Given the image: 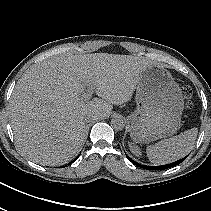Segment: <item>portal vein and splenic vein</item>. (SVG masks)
Returning a JSON list of instances; mask_svg holds the SVG:
<instances>
[{"label":"portal vein and splenic vein","instance_id":"18ae733b","mask_svg":"<svg viewBox=\"0 0 211 211\" xmlns=\"http://www.w3.org/2000/svg\"><path fill=\"white\" fill-rule=\"evenodd\" d=\"M93 92H94L93 86H92V84L89 82V83L87 84V90H86V92H84V93L82 94V98L85 99V100L90 99L91 96H92V94H93Z\"/></svg>","mask_w":211,"mask_h":211}]
</instances>
